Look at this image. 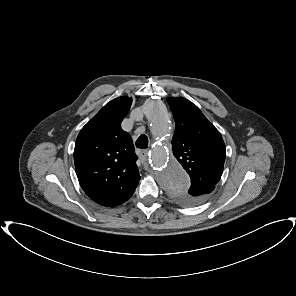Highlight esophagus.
Returning <instances> with one entry per match:
<instances>
[{
  "label": "esophagus",
  "instance_id": "34e87169",
  "mask_svg": "<svg viewBox=\"0 0 296 296\" xmlns=\"http://www.w3.org/2000/svg\"><path fill=\"white\" fill-rule=\"evenodd\" d=\"M137 154H138L141 162L144 163L147 158L148 151L147 150H137Z\"/></svg>",
  "mask_w": 296,
  "mask_h": 296
}]
</instances>
